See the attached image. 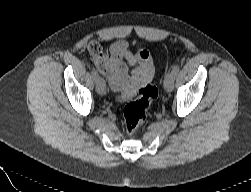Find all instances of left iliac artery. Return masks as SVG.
<instances>
[{"label": "left iliac artery", "instance_id": "1", "mask_svg": "<svg viewBox=\"0 0 251 192\" xmlns=\"http://www.w3.org/2000/svg\"><path fill=\"white\" fill-rule=\"evenodd\" d=\"M179 69H180V67H179V65H174L173 67H172V74L174 75V76H176L177 74H178V72H179Z\"/></svg>", "mask_w": 251, "mask_h": 192}]
</instances>
